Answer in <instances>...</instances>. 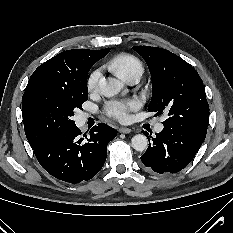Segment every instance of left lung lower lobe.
I'll return each mask as SVG.
<instances>
[{"label":"left lung lower lobe","instance_id":"0a47b994","mask_svg":"<svg viewBox=\"0 0 233 233\" xmlns=\"http://www.w3.org/2000/svg\"><path fill=\"white\" fill-rule=\"evenodd\" d=\"M205 136L189 127L164 124L163 130L149 142L141 161L148 170L159 174L179 172L195 157Z\"/></svg>","mask_w":233,"mask_h":233}]
</instances>
